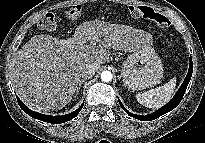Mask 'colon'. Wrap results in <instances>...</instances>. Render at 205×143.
I'll return each instance as SVG.
<instances>
[{"label":"colon","instance_id":"obj_1","mask_svg":"<svg viewBox=\"0 0 205 143\" xmlns=\"http://www.w3.org/2000/svg\"><path fill=\"white\" fill-rule=\"evenodd\" d=\"M129 13L134 18H142L155 22L161 27H169L170 21L163 14L154 11L148 6L132 5L128 8ZM82 7L74 5L65 11V17L70 21H76L80 18ZM56 16L53 13H46L40 20L39 26L44 31H53L56 29Z\"/></svg>","mask_w":205,"mask_h":143}]
</instances>
